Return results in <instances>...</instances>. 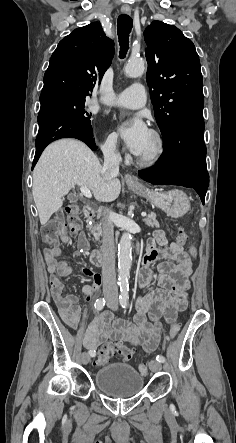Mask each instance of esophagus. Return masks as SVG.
Returning a JSON list of instances; mask_svg holds the SVG:
<instances>
[{"label":"esophagus","instance_id":"obj_1","mask_svg":"<svg viewBox=\"0 0 236 443\" xmlns=\"http://www.w3.org/2000/svg\"><path fill=\"white\" fill-rule=\"evenodd\" d=\"M121 12L123 14H128L129 15L131 13V8L128 7V6H123L121 8ZM125 180H126L127 183L140 185L139 180L136 177H134V176H132L130 174H125Z\"/></svg>","mask_w":236,"mask_h":443}]
</instances>
